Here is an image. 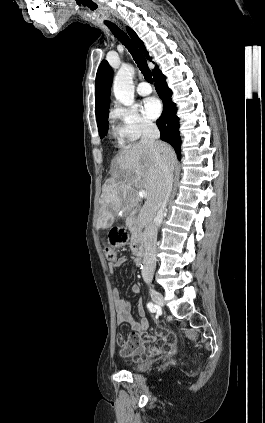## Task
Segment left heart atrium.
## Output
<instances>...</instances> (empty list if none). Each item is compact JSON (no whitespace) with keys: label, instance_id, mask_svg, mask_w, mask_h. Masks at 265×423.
Masks as SVG:
<instances>
[{"label":"left heart atrium","instance_id":"1","mask_svg":"<svg viewBox=\"0 0 265 423\" xmlns=\"http://www.w3.org/2000/svg\"><path fill=\"white\" fill-rule=\"evenodd\" d=\"M142 109L147 117L155 119L161 114L162 105L157 98L149 97L144 100Z\"/></svg>","mask_w":265,"mask_h":423}]
</instances>
